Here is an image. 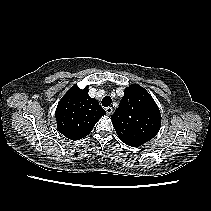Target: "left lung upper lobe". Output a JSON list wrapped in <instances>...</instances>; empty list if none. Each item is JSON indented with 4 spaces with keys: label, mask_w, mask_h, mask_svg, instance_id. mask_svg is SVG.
I'll use <instances>...</instances> for the list:
<instances>
[{
    "label": "left lung upper lobe",
    "mask_w": 211,
    "mask_h": 211,
    "mask_svg": "<svg viewBox=\"0 0 211 211\" xmlns=\"http://www.w3.org/2000/svg\"><path fill=\"white\" fill-rule=\"evenodd\" d=\"M120 140L138 147L156 136L161 125V115L152 96L137 84L124 91L119 107L111 116Z\"/></svg>",
    "instance_id": "5c2ea615"
}]
</instances>
